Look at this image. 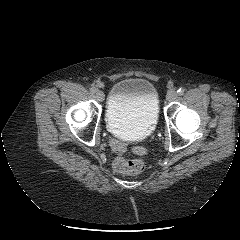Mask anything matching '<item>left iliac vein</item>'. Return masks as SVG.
I'll return each mask as SVG.
<instances>
[{"label":"left iliac vein","instance_id":"left-iliac-vein-1","mask_svg":"<svg viewBox=\"0 0 240 240\" xmlns=\"http://www.w3.org/2000/svg\"><path fill=\"white\" fill-rule=\"evenodd\" d=\"M166 98L169 102L174 101L177 98V92L174 89L169 90Z\"/></svg>","mask_w":240,"mask_h":240}]
</instances>
